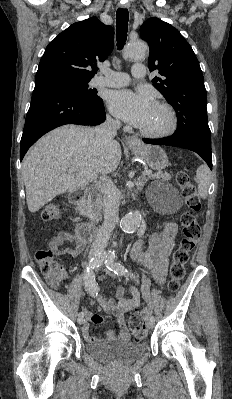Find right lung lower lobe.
I'll return each instance as SVG.
<instances>
[{"mask_svg":"<svg viewBox=\"0 0 232 399\" xmlns=\"http://www.w3.org/2000/svg\"><path fill=\"white\" fill-rule=\"evenodd\" d=\"M105 121L101 98L83 99L79 94L56 81L35 82L21 138L20 160L45 133L65 124L99 125Z\"/></svg>","mask_w":232,"mask_h":399,"instance_id":"1","label":"right lung lower lobe"}]
</instances>
